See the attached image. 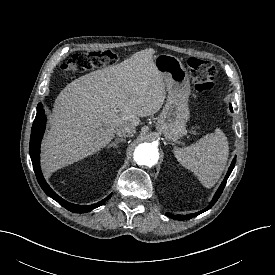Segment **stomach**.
Listing matches in <instances>:
<instances>
[{
    "label": "stomach",
    "instance_id": "obj_1",
    "mask_svg": "<svg viewBox=\"0 0 275 275\" xmlns=\"http://www.w3.org/2000/svg\"><path fill=\"white\" fill-rule=\"evenodd\" d=\"M154 64L164 77L168 92L156 128L167 140L176 141L186 133V123L190 118L188 73L182 62L170 54L155 56Z\"/></svg>",
    "mask_w": 275,
    "mask_h": 275
}]
</instances>
